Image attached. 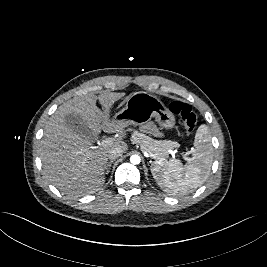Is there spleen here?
<instances>
[{"label": "spleen", "instance_id": "3e777b00", "mask_svg": "<svg viewBox=\"0 0 267 267\" xmlns=\"http://www.w3.org/2000/svg\"><path fill=\"white\" fill-rule=\"evenodd\" d=\"M209 128L202 124L195 134L192 158L182 166L179 160L155 161L151 172L157 184L171 195H185L207 179L212 161L213 147Z\"/></svg>", "mask_w": 267, "mask_h": 267}]
</instances>
